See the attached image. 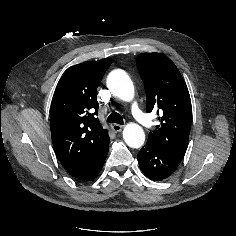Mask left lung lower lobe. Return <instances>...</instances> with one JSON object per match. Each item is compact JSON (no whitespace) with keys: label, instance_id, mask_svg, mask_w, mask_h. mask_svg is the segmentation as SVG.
Returning a JSON list of instances; mask_svg holds the SVG:
<instances>
[{"label":"left lung lower lobe","instance_id":"1","mask_svg":"<svg viewBox=\"0 0 236 236\" xmlns=\"http://www.w3.org/2000/svg\"><path fill=\"white\" fill-rule=\"evenodd\" d=\"M138 163L144 174L151 180L161 181L169 177L179 162L146 143L137 155Z\"/></svg>","mask_w":236,"mask_h":236}]
</instances>
